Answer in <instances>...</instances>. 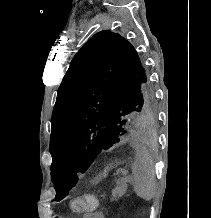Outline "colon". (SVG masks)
Returning <instances> with one entry per match:
<instances>
[{
    "instance_id": "obj_1",
    "label": "colon",
    "mask_w": 211,
    "mask_h": 218,
    "mask_svg": "<svg viewBox=\"0 0 211 218\" xmlns=\"http://www.w3.org/2000/svg\"><path fill=\"white\" fill-rule=\"evenodd\" d=\"M94 207H95V199L93 196H85V197L77 198L72 202V209L77 212L89 210Z\"/></svg>"
}]
</instances>
